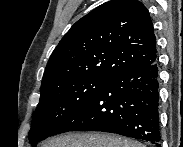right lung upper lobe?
I'll list each match as a JSON object with an SVG mask.
<instances>
[{"label":"right lung upper lobe","instance_id":"right-lung-upper-lobe-1","mask_svg":"<svg viewBox=\"0 0 183 147\" xmlns=\"http://www.w3.org/2000/svg\"><path fill=\"white\" fill-rule=\"evenodd\" d=\"M156 59L146 7L137 0H111L82 17L62 38L47 63L41 89L88 77L110 80Z\"/></svg>","mask_w":183,"mask_h":147}]
</instances>
